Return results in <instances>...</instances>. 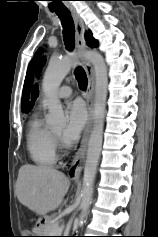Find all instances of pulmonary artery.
Listing matches in <instances>:
<instances>
[{
  "instance_id": "obj_1",
  "label": "pulmonary artery",
  "mask_w": 158,
  "mask_h": 237,
  "mask_svg": "<svg viewBox=\"0 0 158 237\" xmlns=\"http://www.w3.org/2000/svg\"><path fill=\"white\" fill-rule=\"evenodd\" d=\"M72 95V88L70 86L64 85L60 87L57 91V96L59 98H68ZM45 101L43 100L42 103Z\"/></svg>"
}]
</instances>
